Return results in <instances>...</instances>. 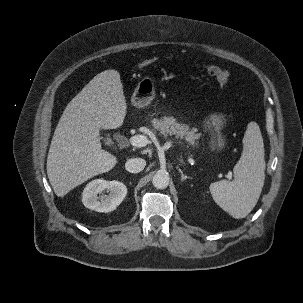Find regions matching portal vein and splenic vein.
I'll return each instance as SVG.
<instances>
[{"label":"portal vein and splenic vein","instance_id":"18ae733b","mask_svg":"<svg viewBox=\"0 0 303 303\" xmlns=\"http://www.w3.org/2000/svg\"><path fill=\"white\" fill-rule=\"evenodd\" d=\"M148 139L144 135H135L130 138L129 143L134 147H144L148 144ZM230 179V176L227 177Z\"/></svg>","mask_w":303,"mask_h":303}]
</instances>
